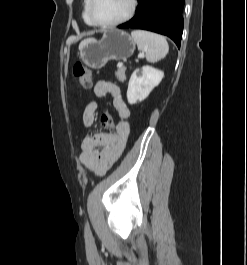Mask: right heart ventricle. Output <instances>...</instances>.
Wrapping results in <instances>:
<instances>
[{
    "mask_svg": "<svg viewBox=\"0 0 247 265\" xmlns=\"http://www.w3.org/2000/svg\"><path fill=\"white\" fill-rule=\"evenodd\" d=\"M88 4H89V0H84L83 1L82 17H83L84 22L87 25L93 26L91 21H90V19H89V16H88Z\"/></svg>",
    "mask_w": 247,
    "mask_h": 265,
    "instance_id": "1",
    "label": "right heart ventricle"
}]
</instances>
